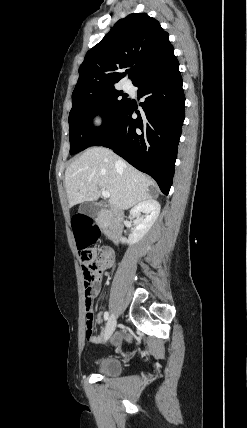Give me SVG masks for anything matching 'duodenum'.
<instances>
[{
	"instance_id": "410a0bca",
	"label": "duodenum",
	"mask_w": 247,
	"mask_h": 428,
	"mask_svg": "<svg viewBox=\"0 0 247 428\" xmlns=\"http://www.w3.org/2000/svg\"><path fill=\"white\" fill-rule=\"evenodd\" d=\"M108 235L113 244H117L122 234V221L120 216L112 210L105 215Z\"/></svg>"
}]
</instances>
